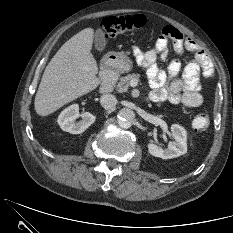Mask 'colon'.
Listing matches in <instances>:
<instances>
[{
	"label": "colon",
	"instance_id": "obj_1",
	"mask_svg": "<svg viewBox=\"0 0 233 233\" xmlns=\"http://www.w3.org/2000/svg\"><path fill=\"white\" fill-rule=\"evenodd\" d=\"M145 24L146 18L142 15L108 16L101 21L103 31L111 37L141 29ZM209 125L210 118L207 113L197 114L192 121L194 130L199 133L205 132Z\"/></svg>",
	"mask_w": 233,
	"mask_h": 233
}]
</instances>
